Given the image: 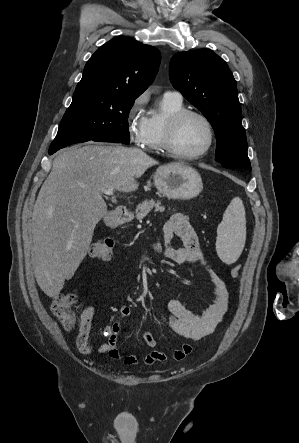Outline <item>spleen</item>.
I'll return each instance as SVG.
<instances>
[{
    "label": "spleen",
    "instance_id": "obj_1",
    "mask_svg": "<svg viewBox=\"0 0 299 443\" xmlns=\"http://www.w3.org/2000/svg\"><path fill=\"white\" fill-rule=\"evenodd\" d=\"M216 251L226 264L237 261L245 246L246 218L242 200L235 197L223 214L217 228Z\"/></svg>",
    "mask_w": 299,
    "mask_h": 443
}]
</instances>
